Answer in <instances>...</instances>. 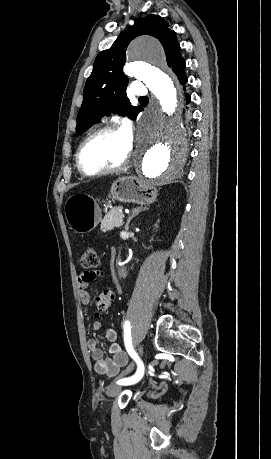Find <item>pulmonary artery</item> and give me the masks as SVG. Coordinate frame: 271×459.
<instances>
[{"instance_id": "e3ab8cb5", "label": "pulmonary artery", "mask_w": 271, "mask_h": 459, "mask_svg": "<svg viewBox=\"0 0 271 459\" xmlns=\"http://www.w3.org/2000/svg\"><path fill=\"white\" fill-rule=\"evenodd\" d=\"M147 92L144 88V83L142 81H137L135 83V96L136 98H145Z\"/></svg>"}]
</instances>
